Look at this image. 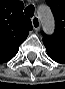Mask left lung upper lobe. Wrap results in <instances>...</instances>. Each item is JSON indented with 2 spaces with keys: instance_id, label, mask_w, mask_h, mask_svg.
Segmentation results:
<instances>
[{
  "instance_id": "5c2ea615",
  "label": "left lung upper lobe",
  "mask_w": 65,
  "mask_h": 89,
  "mask_svg": "<svg viewBox=\"0 0 65 89\" xmlns=\"http://www.w3.org/2000/svg\"><path fill=\"white\" fill-rule=\"evenodd\" d=\"M55 17V32L51 36L43 33L45 38L65 44V0H46Z\"/></svg>"
}]
</instances>
